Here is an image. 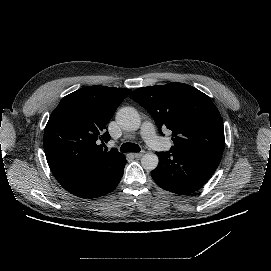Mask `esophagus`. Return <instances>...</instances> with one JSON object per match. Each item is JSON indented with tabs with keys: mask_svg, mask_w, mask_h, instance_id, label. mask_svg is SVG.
Masks as SVG:
<instances>
[{
	"mask_svg": "<svg viewBox=\"0 0 271 271\" xmlns=\"http://www.w3.org/2000/svg\"><path fill=\"white\" fill-rule=\"evenodd\" d=\"M145 153V151L144 150H142L141 152H139V153H135L134 154V157L135 158H140V157H142L143 156V154Z\"/></svg>",
	"mask_w": 271,
	"mask_h": 271,
	"instance_id": "obj_1",
	"label": "esophagus"
}]
</instances>
